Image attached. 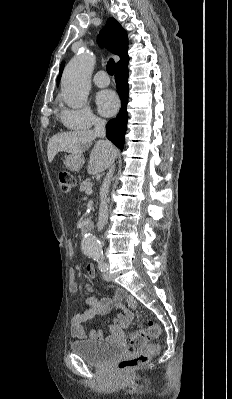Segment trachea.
<instances>
[{"mask_svg": "<svg viewBox=\"0 0 232 399\" xmlns=\"http://www.w3.org/2000/svg\"><path fill=\"white\" fill-rule=\"evenodd\" d=\"M106 70L109 73V75H113L115 71V62L112 58L109 59L106 65Z\"/></svg>", "mask_w": 232, "mask_h": 399, "instance_id": "3493384b", "label": "trachea"}]
</instances>
